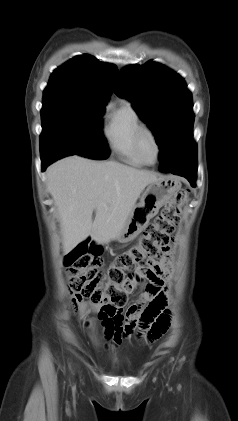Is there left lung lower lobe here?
<instances>
[{
  "label": "left lung lower lobe",
  "mask_w": 238,
  "mask_h": 421,
  "mask_svg": "<svg viewBox=\"0 0 238 421\" xmlns=\"http://www.w3.org/2000/svg\"><path fill=\"white\" fill-rule=\"evenodd\" d=\"M168 172L185 177L191 183L192 186H195L197 177L196 157L176 168L169 170Z\"/></svg>",
  "instance_id": "obj_1"
}]
</instances>
